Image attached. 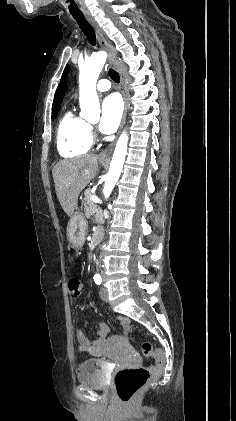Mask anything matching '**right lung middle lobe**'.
<instances>
[{
  "label": "right lung middle lobe",
  "mask_w": 236,
  "mask_h": 421,
  "mask_svg": "<svg viewBox=\"0 0 236 421\" xmlns=\"http://www.w3.org/2000/svg\"><path fill=\"white\" fill-rule=\"evenodd\" d=\"M57 112H58V110H55V111L52 112V118H54L56 116Z\"/></svg>",
  "instance_id": "1"
}]
</instances>
